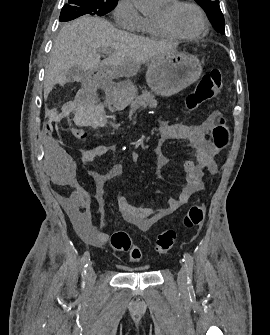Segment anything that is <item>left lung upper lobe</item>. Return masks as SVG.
<instances>
[{
    "instance_id": "left-lung-upper-lobe-1",
    "label": "left lung upper lobe",
    "mask_w": 270,
    "mask_h": 335,
    "mask_svg": "<svg viewBox=\"0 0 270 335\" xmlns=\"http://www.w3.org/2000/svg\"><path fill=\"white\" fill-rule=\"evenodd\" d=\"M196 3L205 11L209 21L214 25L215 29L225 34L224 17L221 12L218 0H195Z\"/></svg>"
}]
</instances>
